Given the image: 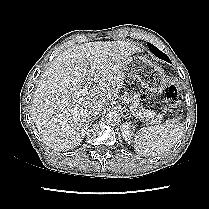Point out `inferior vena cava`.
Masks as SVG:
<instances>
[{"mask_svg":"<svg viewBox=\"0 0 209 209\" xmlns=\"http://www.w3.org/2000/svg\"><path fill=\"white\" fill-rule=\"evenodd\" d=\"M101 108H102L101 105L95 104L89 109L88 114L91 116H96L100 113Z\"/></svg>","mask_w":209,"mask_h":209,"instance_id":"1","label":"inferior vena cava"}]
</instances>
